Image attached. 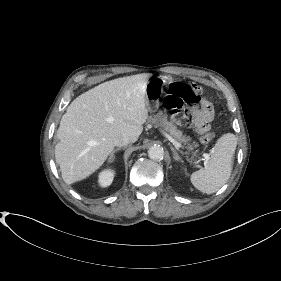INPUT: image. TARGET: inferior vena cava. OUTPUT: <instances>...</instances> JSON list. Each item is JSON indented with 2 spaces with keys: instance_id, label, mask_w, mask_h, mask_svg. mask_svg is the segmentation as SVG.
<instances>
[{
  "instance_id": "1",
  "label": "inferior vena cava",
  "mask_w": 281,
  "mask_h": 281,
  "mask_svg": "<svg viewBox=\"0 0 281 281\" xmlns=\"http://www.w3.org/2000/svg\"><path fill=\"white\" fill-rule=\"evenodd\" d=\"M131 142L130 138L126 135H121L118 136L116 138H114L113 143L115 146H126L127 144H129Z\"/></svg>"
}]
</instances>
